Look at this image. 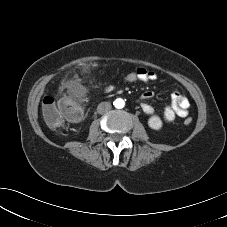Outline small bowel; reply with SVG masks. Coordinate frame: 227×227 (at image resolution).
<instances>
[{"label": "small bowel", "mask_w": 227, "mask_h": 227, "mask_svg": "<svg viewBox=\"0 0 227 227\" xmlns=\"http://www.w3.org/2000/svg\"><path fill=\"white\" fill-rule=\"evenodd\" d=\"M136 70L139 72L141 82H149L157 79V74L152 70H147L143 67H139ZM113 88L114 87L110 85L106 90L111 91ZM153 96V92L147 91L143 93L141 97L140 106L146 114H153L154 112V108L148 103V100L152 99ZM189 106V100L185 95L179 92H174L171 95V103L163 109L162 115L164 121L170 123L176 118V116L183 117L188 113Z\"/></svg>", "instance_id": "c3829d8e"}]
</instances>
